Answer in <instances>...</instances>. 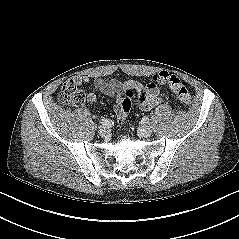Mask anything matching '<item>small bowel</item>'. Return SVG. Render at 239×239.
Instances as JSON below:
<instances>
[{
	"label": "small bowel",
	"instance_id": "small-bowel-1",
	"mask_svg": "<svg viewBox=\"0 0 239 239\" xmlns=\"http://www.w3.org/2000/svg\"><path fill=\"white\" fill-rule=\"evenodd\" d=\"M75 81L78 84H86L90 81L88 76H77ZM94 92L88 94V102L95 103L97 100L96 92L102 93L116 100L114 111L119 112L120 99L126 90H134L138 93V107L144 111L151 110L161 102V95L158 86L154 83L143 85L142 83L129 80L125 83L117 79L96 78L93 80Z\"/></svg>",
	"mask_w": 239,
	"mask_h": 239
}]
</instances>
